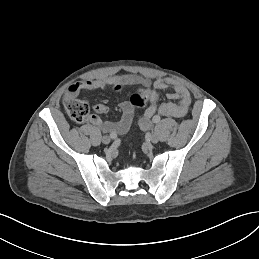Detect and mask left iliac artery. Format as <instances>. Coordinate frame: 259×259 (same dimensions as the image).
I'll return each mask as SVG.
<instances>
[{"label":"left iliac artery","instance_id":"obj_1","mask_svg":"<svg viewBox=\"0 0 259 259\" xmlns=\"http://www.w3.org/2000/svg\"><path fill=\"white\" fill-rule=\"evenodd\" d=\"M161 117L159 115H155L152 119L153 123H159L160 122Z\"/></svg>","mask_w":259,"mask_h":259}]
</instances>
